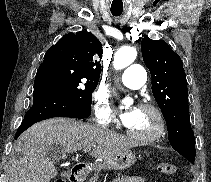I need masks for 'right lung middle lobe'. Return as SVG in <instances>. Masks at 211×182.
Segmentation results:
<instances>
[{
    "instance_id": "1",
    "label": "right lung middle lobe",
    "mask_w": 211,
    "mask_h": 182,
    "mask_svg": "<svg viewBox=\"0 0 211 182\" xmlns=\"http://www.w3.org/2000/svg\"><path fill=\"white\" fill-rule=\"evenodd\" d=\"M36 75L45 76L55 87L71 95L78 103L88 107L91 106L92 92L99 81L59 64L40 66Z\"/></svg>"
}]
</instances>
